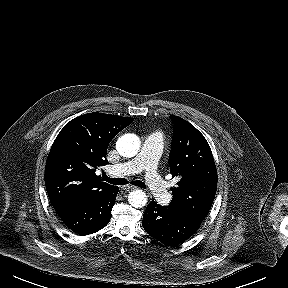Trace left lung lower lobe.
<instances>
[{"label": "left lung lower lobe", "mask_w": 288, "mask_h": 288, "mask_svg": "<svg viewBox=\"0 0 288 288\" xmlns=\"http://www.w3.org/2000/svg\"><path fill=\"white\" fill-rule=\"evenodd\" d=\"M200 224V221L168 206H161L154 200L148 204L142 220L145 231L168 246H175L190 238Z\"/></svg>", "instance_id": "obj_1"}]
</instances>
